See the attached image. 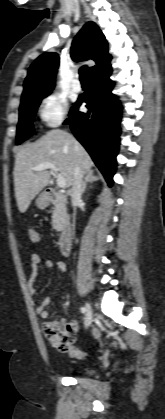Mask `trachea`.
I'll use <instances>...</instances> for the list:
<instances>
[{
	"label": "trachea",
	"instance_id": "3493384b",
	"mask_svg": "<svg viewBox=\"0 0 165 419\" xmlns=\"http://www.w3.org/2000/svg\"><path fill=\"white\" fill-rule=\"evenodd\" d=\"M79 74H80V81L87 82L88 68L86 65L80 68Z\"/></svg>",
	"mask_w": 165,
	"mask_h": 419
}]
</instances>
